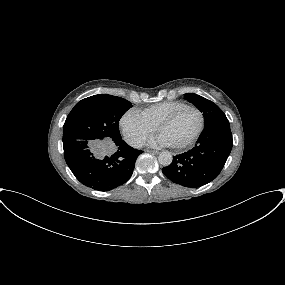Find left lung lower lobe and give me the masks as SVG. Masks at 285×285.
Returning a JSON list of instances; mask_svg holds the SVG:
<instances>
[{"mask_svg": "<svg viewBox=\"0 0 285 285\" xmlns=\"http://www.w3.org/2000/svg\"><path fill=\"white\" fill-rule=\"evenodd\" d=\"M197 143L193 149L176 155L169 166L162 168L172 182L197 188L219 175L233 145L229 121L205 125Z\"/></svg>", "mask_w": 285, "mask_h": 285, "instance_id": "obj_1", "label": "left lung lower lobe"}]
</instances>
